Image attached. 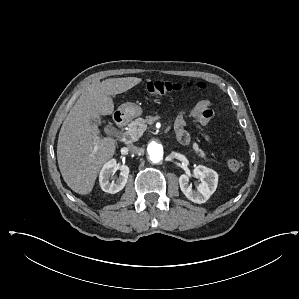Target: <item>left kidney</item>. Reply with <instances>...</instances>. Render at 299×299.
I'll return each instance as SVG.
<instances>
[{"label": "left kidney", "mask_w": 299, "mask_h": 299, "mask_svg": "<svg viewBox=\"0 0 299 299\" xmlns=\"http://www.w3.org/2000/svg\"><path fill=\"white\" fill-rule=\"evenodd\" d=\"M193 175L201 181L197 190H193L189 185L191 175L186 174L179 177L180 189L190 201L198 204L205 203L217 188L218 174L210 168L199 165L194 168Z\"/></svg>", "instance_id": "1"}]
</instances>
